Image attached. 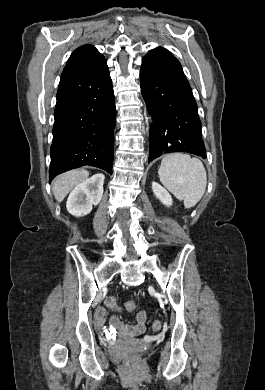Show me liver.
<instances>
[{"label":"liver","instance_id":"liver-1","mask_svg":"<svg viewBox=\"0 0 265 390\" xmlns=\"http://www.w3.org/2000/svg\"><path fill=\"white\" fill-rule=\"evenodd\" d=\"M89 176L85 169L71 170L55 178L52 186L53 194L61 202L67 194L77 185L84 182Z\"/></svg>","mask_w":265,"mask_h":390}]
</instances>
